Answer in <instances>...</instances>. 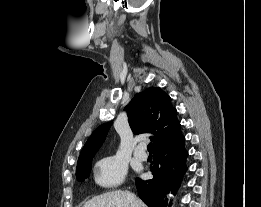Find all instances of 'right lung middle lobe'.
Instances as JSON below:
<instances>
[{"label": "right lung middle lobe", "mask_w": 261, "mask_h": 207, "mask_svg": "<svg viewBox=\"0 0 261 207\" xmlns=\"http://www.w3.org/2000/svg\"><path fill=\"white\" fill-rule=\"evenodd\" d=\"M93 157L83 160L81 163L77 164L76 167V177L79 181H84L89 177L91 171V160Z\"/></svg>", "instance_id": "right-lung-middle-lobe-1"}]
</instances>
